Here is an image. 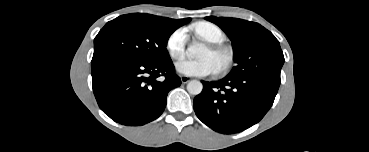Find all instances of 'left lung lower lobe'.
Instances as JSON below:
<instances>
[{
    "label": "left lung lower lobe",
    "instance_id": "left-lung-lower-lobe-1",
    "mask_svg": "<svg viewBox=\"0 0 369 152\" xmlns=\"http://www.w3.org/2000/svg\"><path fill=\"white\" fill-rule=\"evenodd\" d=\"M280 79L270 76H230L203 83L194 98L197 117L223 134L241 132L259 122L272 106Z\"/></svg>",
    "mask_w": 369,
    "mask_h": 152
}]
</instances>
